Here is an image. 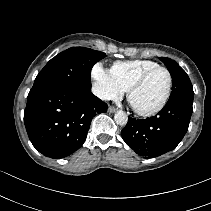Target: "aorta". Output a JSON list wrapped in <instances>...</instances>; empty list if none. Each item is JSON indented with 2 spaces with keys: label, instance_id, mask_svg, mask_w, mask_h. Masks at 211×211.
Wrapping results in <instances>:
<instances>
[{
  "label": "aorta",
  "instance_id": "762f6f07",
  "mask_svg": "<svg viewBox=\"0 0 211 211\" xmlns=\"http://www.w3.org/2000/svg\"><path fill=\"white\" fill-rule=\"evenodd\" d=\"M114 120L116 124L123 126L127 124L128 117L125 112H123L122 110H119L115 113Z\"/></svg>",
  "mask_w": 211,
  "mask_h": 211
}]
</instances>
